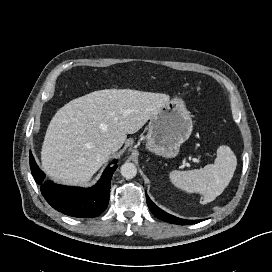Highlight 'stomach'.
I'll list each match as a JSON object with an SVG mask.
<instances>
[{"mask_svg":"<svg viewBox=\"0 0 272 272\" xmlns=\"http://www.w3.org/2000/svg\"><path fill=\"white\" fill-rule=\"evenodd\" d=\"M192 129L190 112L184 101L175 97L151 116L146 147L156 155L176 157L182 143L190 137Z\"/></svg>","mask_w":272,"mask_h":272,"instance_id":"obj_1","label":"stomach"}]
</instances>
